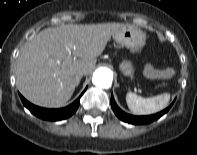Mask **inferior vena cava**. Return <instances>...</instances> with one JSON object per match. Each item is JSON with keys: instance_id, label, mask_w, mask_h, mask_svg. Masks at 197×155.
Returning <instances> with one entry per match:
<instances>
[{"instance_id": "obj_1", "label": "inferior vena cava", "mask_w": 197, "mask_h": 155, "mask_svg": "<svg viewBox=\"0 0 197 155\" xmlns=\"http://www.w3.org/2000/svg\"><path fill=\"white\" fill-rule=\"evenodd\" d=\"M78 75L81 77V76H84V75H87V71L85 69H82V70H79L78 71Z\"/></svg>"}]
</instances>
